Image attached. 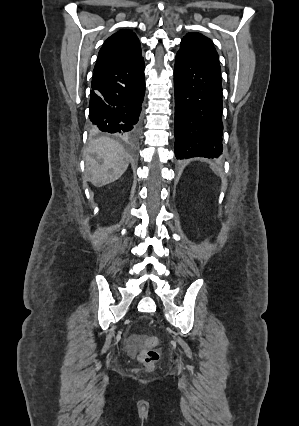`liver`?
Instances as JSON below:
<instances>
[{
  "instance_id": "obj_1",
  "label": "liver",
  "mask_w": 299,
  "mask_h": 426,
  "mask_svg": "<svg viewBox=\"0 0 299 426\" xmlns=\"http://www.w3.org/2000/svg\"><path fill=\"white\" fill-rule=\"evenodd\" d=\"M85 163L86 178L95 186L116 181L129 164L124 148L109 137H99L89 143Z\"/></svg>"
}]
</instances>
